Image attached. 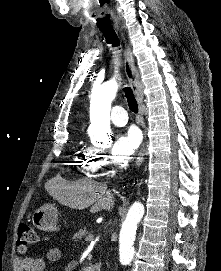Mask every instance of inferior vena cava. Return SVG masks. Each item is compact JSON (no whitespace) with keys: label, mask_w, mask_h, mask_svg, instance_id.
Returning a JSON list of instances; mask_svg holds the SVG:
<instances>
[{"label":"inferior vena cava","mask_w":221,"mask_h":271,"mask_svg":"<svg viewBox=\"0 0 221 271\" xmlns=\"http://www.w3.org/2000/svg\"><path fill=\"white\" fill-rule=\"evenodd\" d=\"M108 197H111V193H108Z\"/></svg>","instance_id":"1"}]
</instances>
